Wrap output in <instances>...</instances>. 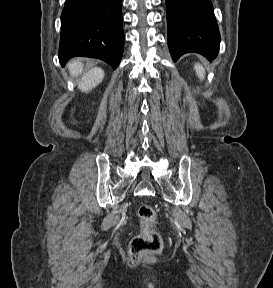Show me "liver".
I'll return each instance as SVG.
<instances>
[{"label": "liver", "instance_id": "6515ba94", "mask_svg": "<svg viewBox=\"0 0 273 288\" xmlns=\"http://www.w3.org/2000/svg\"><path fill=\"white\" fill-rule=\"evenodd\" d=\"M69 71L72 76H77L83 71V64L80 60H72L68 64ZM104 79V71L99 67H94L90 71L83 74L78 84V88L82 92H88L99 85Z\"/></svg>", "mask_w": 273, "mask_h": 288}]
</instances>
